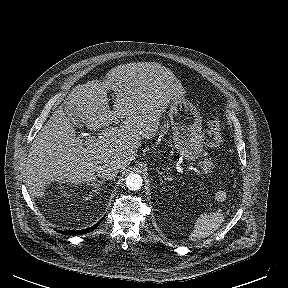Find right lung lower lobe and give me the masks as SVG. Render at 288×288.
I'll return each instance as SVG.
<instances>
[{"instance_id":"98d812e1","label":"right lung lower lobe","mask_w":288,"mask_h":288,"mask_svg":"<svg viewBox=\"0 0 288 288\" xmlns=\"http://www.w3.org/2000/svg\"><path fill=\"white\" fill-rule=\"evenodd\" d=\"M99 223L100 222H98L96 225H94V226H92V227H89V228H87V229H83V230H79V231H60L62 234H79V235H81V234H85V233H89V232H92V231H94L96 228H97V226L99 225Z\"/></svg>"}]
</instances>
